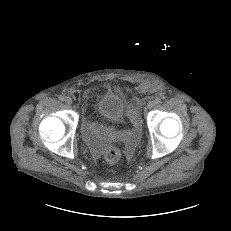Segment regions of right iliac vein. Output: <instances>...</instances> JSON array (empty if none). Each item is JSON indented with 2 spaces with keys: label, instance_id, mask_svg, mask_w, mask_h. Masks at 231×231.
<instances>
[{
  "label": "right iliac vein",
  "instance_id": "right-iliac-vein-1",
  "mask_svg": "<svg viewBox=\"0 0 231 231\" xmlns=\"http://www.w3.org/2000/svg\"><path fill=\"white\" fill-rule=\"evenodd\" d=\"M65 102H66V104L71 105L73 101H72L71 97H66Z\"/></svg>",
  "mask_w": 231,
  "mask_h": 231
}]
</instances>
